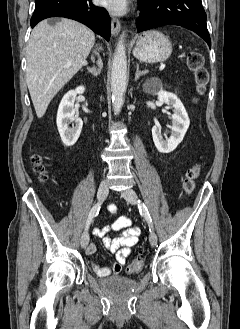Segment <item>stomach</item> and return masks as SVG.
I'll return each mask as SVG.
<instances>
[{"label": "stomach", "instance_id": "obj_1", "mask_svg": "<svg viewBox=\"0 0 240 329\" xmlns=\"http://www.w3.org/2000/svg\"><path fill=\"white\" fill-rule=\"evenodd\" d=\"M172 53L169 39L159 31L142 33L136 42L133 55L142 62L156 63L166 60Z\"/></svg>", "mask_w": 240, "mask_h": 329}]
</instances>
